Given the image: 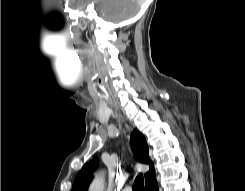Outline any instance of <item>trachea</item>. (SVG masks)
<instances>
[{
	"mask_svg": "<svg viewBox=\"0 0 245 191\" xmlns=\"http://www.w3.org/2000/svg\"><path fill=\"white\" fill-rule=\"evenodd\" d=\"M144 186V179H143V175L140 173L134 181L133 184V191H144L143 189Z\"/></svg>",
	"mask_w": 245,
	"mask_h": 191,
	"instance_id": "obj_1",
	"label": "trachea"
}]
</instances>
